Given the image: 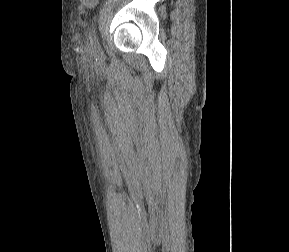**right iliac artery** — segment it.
<instances>
[{
	"instance_id": "right-iliac-artery-1",
	"label": "right iliac artery",
	"mask_w": 289,
	"mask_h": 252,
	"mask_svg": "<svg viewBox=\"0 0 289 252\" xmlns=\"http://www.w3.org/2000/svg\"><path fill=\"white\" fill-rule=\"evenodd\" d=\"M93 45H94L95 52L98 54H101V47H100L99 42L97 40V37L95 35L93 37Z\"/></svg>"
}]
</instances>
